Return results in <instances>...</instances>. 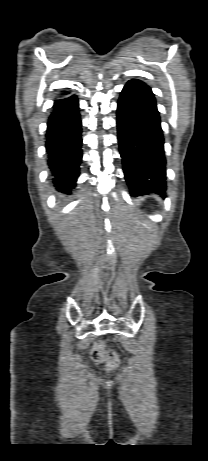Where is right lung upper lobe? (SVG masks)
<instances>
[{
	"mask_svg": "<svg viewBox=\"0 0 208 461\" xmlns=\"http://www.w3.org/2000/svg\"><path fill=\"white\" fill-rule=\"evenodd\" d=\"M68 93H69V92H65L63 95H66V94H68Z\"/></svg>",
	"mask_w": 208,
	"mask_h": 461,
	"instance_id": "right-lung-upper-lobe-1",
	"label": "right lung upper lobe"
}]
</instances>
